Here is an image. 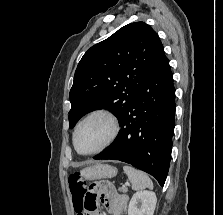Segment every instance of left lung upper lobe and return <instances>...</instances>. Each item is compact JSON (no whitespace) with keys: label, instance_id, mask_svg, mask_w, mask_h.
Here are the masks:
<instances>
[{"label":"left lung upper lobe","instance_id":"5c2ea615","mask_svg":"<svg viewBox=\"0 0 223 215\" xmlns=\"http://www.w3.org/2000/svg\"><path fill=\"white\" fill-rule=\"evenodd\" d=\"M165 59L157 33L144 22L125 25L89 48L70 90V128L100 108L112 111L120 123L140 87Z\"/></svg>","mask_w":223,"mask_h":215}]
</instances>
